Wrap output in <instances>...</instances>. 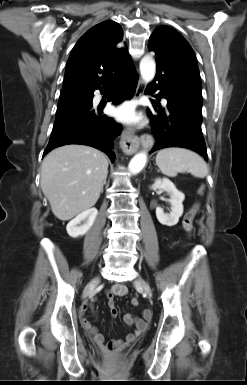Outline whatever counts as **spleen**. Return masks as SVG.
<instances>
[{"label": "spleen", "mask_w": 247, "mask_h": 385, "mask_svg": "<svg viewBox=\"0 0 247 385\" xmlns=\"http://www.w3.org/2000/svg\"><path fill=\"white\" fill-rule=\"evenodd\" d=\"M156 164L164 175L175 177L178 173L190 172L197 178L208 175V166L204 159L185 148H165L156 155Z\"/></svg>", "instance_id": "obj_1"}]
</instances>
